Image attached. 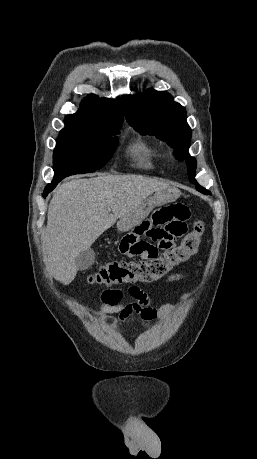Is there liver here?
Here are the masks:
<instances>
[{
  "label": "liver",
  "mask_w": 257,
  "mask_h": 459,
  "mask_svg": "<svg viewBox=\"0 0 257 459\" xmlns=\"http://www.w3.org/2000/svg\"><path fill=\"white\" fill-rule=\"evenodd\" d=\"M169 187L140 175H102L72 180L54 193L44 235L45 264L64 285L76 274L75 259L96 239L152 193Z\"/></svg>",
  "instance_id": "1"
}]
</instances>
